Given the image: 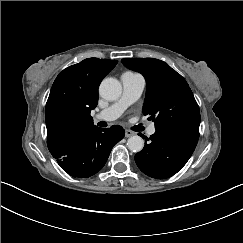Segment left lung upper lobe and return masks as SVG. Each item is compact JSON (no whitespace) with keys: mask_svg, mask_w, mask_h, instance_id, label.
Wrapping results in <instances>:
<instances>
[{"mask_svg":"<svg viewBox=\"0 0 243 243\" xmlns=\"http://www.w3.org/2000/svg\"><path fill=\"white\" fill-rule=\"evenodd\" d=\"M122 63L145 77L143 113L155 121V129L181 128L199 132V106L179 73L154 58H125Z\"/></svg>","mask_w":243,"mask_h":243,"instance_id":"5c2ea615","label":"left lung upper lobe"}]
</instances>
